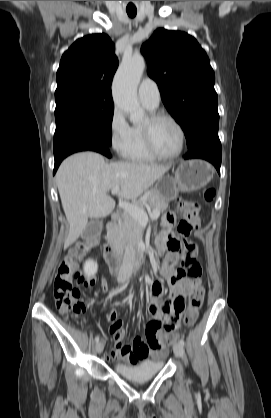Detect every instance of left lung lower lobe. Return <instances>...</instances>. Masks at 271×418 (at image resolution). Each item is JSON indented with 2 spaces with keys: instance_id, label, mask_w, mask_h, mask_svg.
Instances as JSON below:
<instances>
[{
  "instance_id": "1",
  "label": "left lung lower lobe",
  "mask_w": 271,
  "mask_h": 418,
  "mask_svg": "<svg viewBox=\"0 0 271 418\" xmlns=\"http://www.w3.org/2000/svg\"><path fill=\"white\" fill-rule=\"evenodd\" d=\"M185 159L201 158L211 162L220 173L221 166V143L219 137H210L198 141L188 153Z\"/></svg>"
}]
</instances>
